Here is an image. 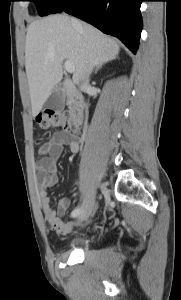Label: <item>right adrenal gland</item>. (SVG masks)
Here are the masks:
<instances>
[{"label":"right adrenal gland","instance_id":"right-adrenal-gland-1","mask_svg":"<svg viewBox=\"0 0 181 300\" xmlns=\"http://www.w3.org/2000/svg\"><path fill=\"white\" fill-rule=\"evenodd\" d=\"M102 65H103V64H100V65H98V66L96 67L95 74L98 72L99 69L102 68Z\"/></svg>","mask_w":181,"mask_h":300}]
</instances>
